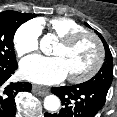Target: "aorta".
<instances>
[{
    "label": "aorta",
    "mask_w": 117,
    "mask_h": 117,
    "mask_svg": "<svg viewBox=\"0 0 117 117\" xmlns=\"http://www.w3.org/2000/svg\"><path fill=\"white\" fill-rule=\"evenodd\" d=\"M52 37L45 35L40 41V48L43 52H47L50 48ZM60 99L56 95H48L44 98V108L48 111H57L60 107Z\"/></svg>",
    "instance_id": "762f6f07"
}]
</instances>
